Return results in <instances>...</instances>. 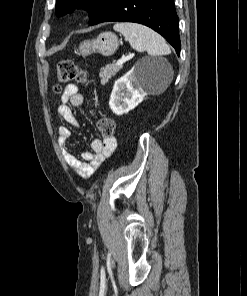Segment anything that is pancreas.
Here are the masks:
<instances>
[{"mask_svg":"<svg viewBox=\"0 0 247 296\" xmlns=\"http://www.w3.org/2000/svg\"><path fill=\"white\" fill-rule=\"evenodd\" d=\"M122 69V66H117L114 64L107 65L100 70V78H101V84L105 85L111 77L116 75L120 70Z\"/></svg>","mask_w":247,"mask_h":296,"instance_id":"cf45deb5","label":"pancreas"}]
</instances>
